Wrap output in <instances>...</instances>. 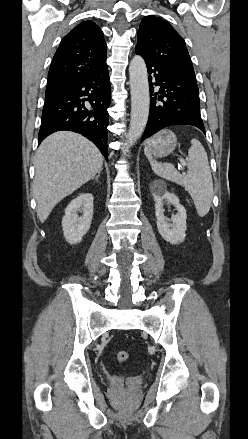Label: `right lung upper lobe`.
<instances>
[{
  "label": "right lung upper lobe",
  "mask_w": 248,
  "mask_h": 439,
  "mask_svg": "<svg viewBox=\"0 0 248 439\" xmlns=\"http://www.w3.org/2000/svg\"><path fill=\"white\" fill-rule=\"evenodd\" d=\"M103 32L92 21L80 23L60 42L48 73L45 94L58 91L106 66Z\"/></svg>",
  "instance_id": "cb5924a9"
}]
</instances>
